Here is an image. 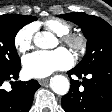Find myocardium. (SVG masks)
Segmentation results:
<instances>
[{"instance_id":"1","label":"myocardium","mask_w":112,"mask_h":112,"mask_svg":"<svg viewBox=\"0 0 112 112\" xmlns=\"http://www.w3.org/2000/svg\"><path fill=\"white\" fill-rule=\"evenodd\" d=\"M61 42L75 53L82 52L87 45V39L82 33H68L61 37Z\"/></svg>"}]
</instances>
